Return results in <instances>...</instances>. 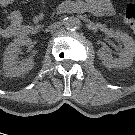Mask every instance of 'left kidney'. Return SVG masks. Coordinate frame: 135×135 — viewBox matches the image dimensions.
I'll return each mask as SVG.
<instances>
[{
  "label": "left kidney",
  "mask_w": 135,
  "mask_h": 135,
  "mask_svg": "<svg viewBox=\"0 0 135 135\" xmlns=\"http://www.w3.org/2000/svg\"><path fill=\"white\" fill-rule=\"evenodd\" d=\"M114 34L124 45V49L119 58H114L105 48H101L98 50L99 59L108 68L129 67L132 65L133 57L135 56V41L127 33L120 30H116Z\"/></svg>",
  "instance_id": "obj_1"
}]
</instances>
